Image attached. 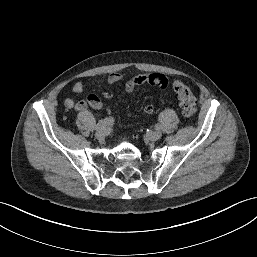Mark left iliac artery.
Segmentation results:
<instances>
[{
	"label": "left iliac artery",
	"instance_id": "left-iliac-artery-1",
	"mask_svg": "<svg viewBox=\"0 0 257 257\" xmlns=\"http://www.w3.org/2000/svg\"><path fill=\"white\" fill-rule=\"evenodd\" d=\"M155 129H156V130L159 129V125H158V124L155 125Z\"/></svg>",
	"mask_w": 257,
	"mask_h": 257
}]
</instances>
